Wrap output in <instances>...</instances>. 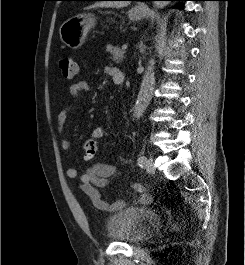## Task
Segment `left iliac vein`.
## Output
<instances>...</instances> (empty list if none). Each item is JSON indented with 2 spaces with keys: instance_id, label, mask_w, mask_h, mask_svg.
Masks as SVG:
<instances>
[{
  "instance_id": "4c4485c4",
  "label": "left iliac vein",
  "mask_w": 245,
  "mask_h": 265,
  "mask_svg": "<svg viewBox=\"0 0 245 265\" xmlns=\"http://www.w3.org/2000/svg\"><path fill=\"white\" fill-rule=\"evenodd\" d=\"M145 168H146V171L149 174H154L155 173L156 167H155L154 162H153V159L151 157H149L146 160V162H145Z\"/></svg>"
}]
</instances>
